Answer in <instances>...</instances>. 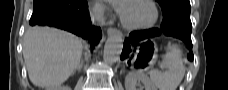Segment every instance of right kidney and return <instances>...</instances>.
Returning a JSON list of instances; mask_svg holds the SVG:
<instances>
[{
	"mask_svg": "<svg viewBox=\"0 0 228 90\" xmlns=\"http://www.w3.org/2000/svg\"><path fill=\"white\" fill-rule=\"evenodd\" d=\"M48 90H70L69 86H57L55 88H49Z\"/></svg>",
	"mask_w": 228,
	"mask_h": 90,
	"instance_id": "1",
	"label": "right kidney"
}]
</instances>
